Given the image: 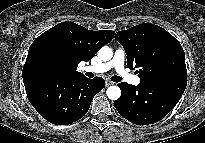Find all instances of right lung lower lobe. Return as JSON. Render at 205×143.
Returning a JSON list of instances; mask_svg holds the SVG:
<instances>
[{"mask_svg": "<svg viewBox=\"0 0 205 143\" xmlns=\"http://www.w3.org/2000/svg\"><path fill=\"white\" fill-rule=\"evenodd\" d=\"M22 76L30 103L43 118L56 125L82 118L95 94L105 87L101 77L68 76L40 67L27 69Z\"/></svg>", "mask_w": 205, "mask_h": 143, "instance_id": "1", "label": "right lung lower lobe"}]
</instances>
